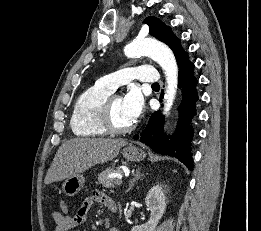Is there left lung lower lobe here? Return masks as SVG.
Returning a JSON list of instances; mask_svg holds the SVG:
<instances>
[{
    "mask_svg": "<svg viewBox=\"0 0 261 231\" xmlns=\"http://www.w3.org/2000/svg\"><path fill=\"white\" fill-rule=\"evenodd\" d=\"M178 85L182 88V99L178 106L179 119L174 134L170 137L163 133L164 116L160 112H154L145 130L138 139L148 145L159 154L176 157L184 163L189 170H193L191 142L194 134L192 120L196 115L195 104L198 100L194 76V64L189 60L188 54L178 62ZM162 98V96H161Z\"/></svg>",
    "mask_w": 261,
    "mask_h": 231,
    "instance_id": "1",
    "label": "left lung lower lobe"
}]
</instances>
